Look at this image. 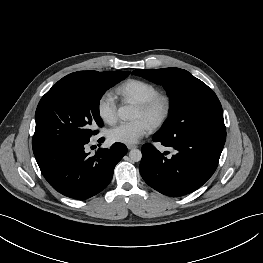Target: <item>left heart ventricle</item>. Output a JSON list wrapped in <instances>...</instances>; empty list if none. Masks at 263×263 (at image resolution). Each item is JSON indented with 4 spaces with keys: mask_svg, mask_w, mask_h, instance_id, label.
I'll return each mask as SVG.
<instances>
[{
    "mask_svg": "<svg viewBox=\"0 0 263 263\" xmlns=\"http://www.w3.org/2000/svg\"><path fill=\"white\" fill-rule=\"evenodd\" d=\"M135 118L136 119L142 118L150 122L149 118L146 115H144V113L138 107L136 108Z\"/></svg>",
    "mask_w": 263,
    "mask_h": 263,
    "instance_id": "obj_1",
    "label": "left heart ventricle"
}]
</instances>
